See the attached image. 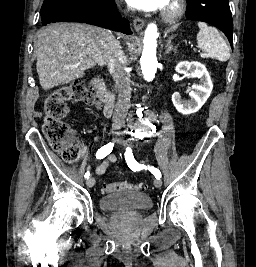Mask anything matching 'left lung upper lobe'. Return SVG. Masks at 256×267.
<instances>
[{"mask_svg":"<svg viewBox=\"0 0 256 267\" xmlns=\"http://www.w3.org/2000/svg\"><path fill=\"white\" fill-rule=\"evenodd\" d=\"M188 18L219 28L233 47V22L228 0H188Z\"/></svg>","mask_w":256,"mask_h":267,"instance_id":"left-lung-upper-lobe-1","label":"left lung upper lobe"}]
</instances>
